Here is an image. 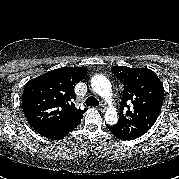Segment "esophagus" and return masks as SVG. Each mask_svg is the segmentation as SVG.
I'll use <instances>...</instances> for the list:
<instances>
[{
	"label": "esophagus",
	"mask_w": 179,
	"mask_h": 179,
	"mask_svg": "<svg viewBox=\"0 0 179 179\" xmlns=\"http://www.w3.org/2000/svg\"><path fill=\"white\" fill-rule=\"evenodd\" d=\"M98 110H100L101 112H104L105 111V107L100 104L98 107H97Z\"/></svg>",
	"instance_id": "34e87169"
}]
</instances>
